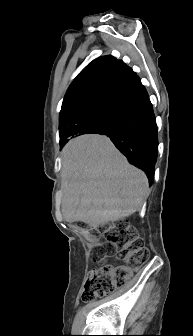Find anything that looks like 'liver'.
I'll return each mask as SVG.
<instances>
[{
	"label": "liver",
	"instance_id": "1",
	"mask_svg": "<svg viewBox=\"0 0 193 336\" xmlns=\"http://www.w3.org/2000/svg\"><path fill=\"white\" fill-rule=\"evenodd\" d=\"M62 213L69 222L97 229L137 212L148 195V179L103 135L70 140L62 150Z\"/></svg>",
	"mask_w": 193,
	"mask_h": 336
}]
</instances>
